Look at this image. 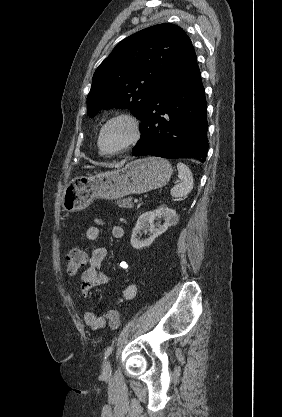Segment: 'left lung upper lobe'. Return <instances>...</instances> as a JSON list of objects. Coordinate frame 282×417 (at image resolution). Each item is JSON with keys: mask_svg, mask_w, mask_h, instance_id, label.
<instances>
[{"mask_svg": "<svg viewBox=\"0 0 282 417\" xmlns=\"http://www.w3.org/2000/svg\"><path fill=\"white\" fill-rule=\"evenodd\" d=\"M191 45L179 26L163 23L122 40L94 73L87 114L102 108H129L142 119L167 71Z\"/></svg>", "mask_w": 282, "mask_h": 417, "instance_id": "1", "label": "left lung upper lobe"}]
</instances>
